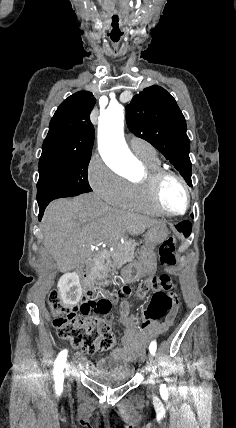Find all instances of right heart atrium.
<instances>
[{
    "mask_svg": "<svg viewBox=\"0 0 236 428\" xmlns=\"http://www.w3.org/2000/svg\"><path fill=\"white\" fill-rule=\"evenodd\" d=\"M88 182L99 200H106L107 206L123 205L128 192V182L117 175L99 156L93 157L89 163Z\"/></svg>",
    "mask_w": 236,
    "mask_h": 428,
    "instance_id": "d8ad5b80",
    "label": "right heart atrium"
}]
</instances>
